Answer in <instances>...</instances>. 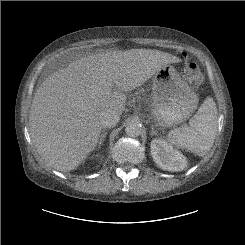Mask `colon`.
<instances>
[{
	"label": "colon",
	"mask_w": 245,
	"mask_h": 245,
	"mask_svg": "<svg viewBox=\"0 0 245 245\" xmlns=\"http://www.w3.org/2000/svg\"><path fill=\"white\" fill-rule=\"evenodd\" d=\"M182 76L192 89H199L203 83V75L199 66L188 57L184 58Z\"/></svg>",
	"instance_id": "colon-1"
}]
</instances>
